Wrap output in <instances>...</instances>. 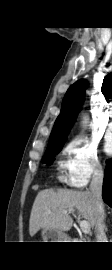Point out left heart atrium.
<instances>
[{
    "mask_svg": "<svg viewBox=\"0 0 112 270\" xmlns=\"http://www.w3.org/2000/svg\"><path fill=\"white\" fill-rule=\"evenodd\" d=\"M105 150L107 153H112V142L106 144Z\"/></svg>",
    "mask_w": 112,
    "mask_h": 270,
    "instance_id": "left-heart-atrium-1",
    "label": "left heart atrium"
}]
</instances>
